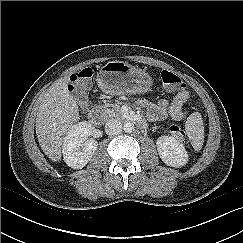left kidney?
<instances>
[{
    "label": "left kidney",
    "instance_id": "obj_1",
    "mask_svg": "<svg viewBox=\"0 0 243 243\" xmlns=\"http://www.w3.org/2000/svg\"><path fill=\"white\" fill-rule=\"evenodd\" d=\"M157 150L162 161L171 167H182L188 162V154L178 140L171 136H160L157 139Z\"/></svg>",
    "mask_w": 243,
    "mask_h": 243
}]
</instances>
